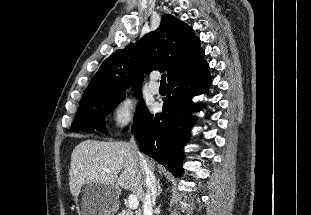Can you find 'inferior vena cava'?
I'll use <instances>...</instances> for the list:
<instances>
[{
  "label": "inferior vena cava",
  "mask_w": 311,
  "mask_h": 215,
  "mask_svg": "<svg viewBox=\"0 0 311 215\" xmlns=\"http://www.w3.org/2000/svg\"><path fill=\"white\" fill-rule=\"evenodd\" d=\"M130 146L132 148L133 153L139 160L141 170L145 177V186L147 188V191L145 193L143 200V212L144 215H152L153 205L155 204V197H156V179L151 167L147 163V160L139 152L133 136L130 139Z\"/></svg>",
  "instance_id": "1"
}]
</instances>
